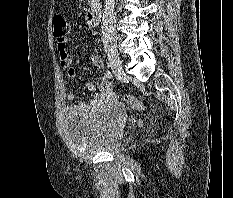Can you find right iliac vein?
Segmentation results:
<instances>
[{
    "label": "right iliac vein",
    "instance_id": "obj_1",
    "mask_svg": "<svg viewBox=\"0 0 233 198\" xmlns=\"http://www.w3.org/2000/svg\"><path fill=\"white\" fill-rule=\"evenodd\" d=\"M109 65L114 73L117 75H124L122 62L120 60L119 54L116 51H111L108 53Z\"/></svg>",
    "mask_w": 233,
    "mask_h": 198
}]
</instances>
